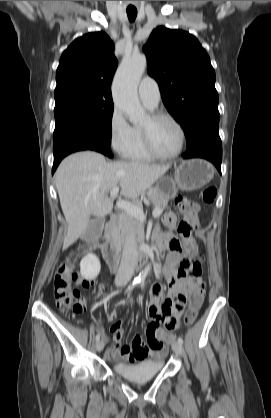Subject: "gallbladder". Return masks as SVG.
Instances as JSON below:
<instances>
[{"label":"gallbladder","mask_w":271,"mask_h":418,"mask_svg":"<svg viewBox=\"0 0 271 418\" xmlns=\"http://www.w3.org/2000/svg\"><path fill=\"white\" fill-rule=\"evenodd\" d=\"M103 223V217H95L94 219H92L87 229L88 234L93 236L99 235L101 233Z\"/></svg>","instance_id":"gallbladder-1"}]
</instances>
